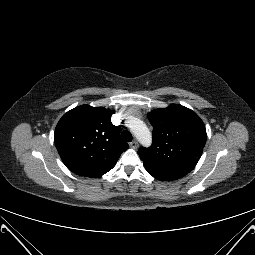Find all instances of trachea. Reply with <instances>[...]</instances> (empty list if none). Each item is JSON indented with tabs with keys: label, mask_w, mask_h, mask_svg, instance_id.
<instances>
[{
	"label": "trachea",
	"mask_w": 255,
	"mask_h": 255,
	"mask_svg": "<svg viewBox=\"0 0 255 255\" xmlns=\"http://www.w3.org/2000/svg\"><path fill=\"white\" fill-rule=\"evenodd\" d=\"M121 139L126 141V142H131L132 141V135H131V133L129 131L124 130L121 133Z\"/></svg>",
	"instance_id": "1"
}]
</instances>
